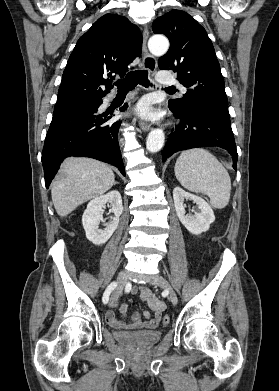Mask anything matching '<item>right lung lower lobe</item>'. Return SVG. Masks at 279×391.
I'll return each instance as SVG.
<instances>
[{"label": "right lung lower lobe", "instance_id": "right-lung-lower-lobe-1", "mask_svg": "<svg viewBox=\"0 0 279 391\" xmlns=\"http://www.w3.org/2000/svg\"><path fill=\"white\" fill-rule=\"evenodd\" d=\"M102 99L54 109L42 152L45 185L48 187L64 158L92 157L112 164L125 175L118 144L119 121L112 114H98Z\"/></svg>", "mask_w": 279, "mask_h": 391}]
</instances>
